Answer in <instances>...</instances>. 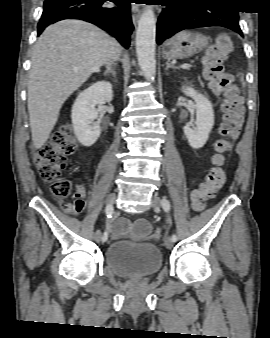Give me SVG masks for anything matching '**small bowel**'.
Returning a JSON list of instances; mask_svg holds the SVG:
<instances>
[{
    "label": "small bowel",
    "mask_w": 270,
    "mask_h": 338,
    "mask_svg": "<svg viewBox=\"0 0 270 338\" xmlns=\"http://www.w3.org/2000/svg\"><path fill=\"white\" fill-rule=\"evenodd\" d=\"M81 199L80 194L75 195L73 201ZM127 223L125 220L117 221L115 219L110 220V225L107 227V230L110 232L113 238L119 239L123 236ZM130 237L138 240H151L153 236L151 235V227L149 223L144 219H139L135 222L133 230L130 232Z\"/></svg>",
    "instance_id": "c3829d8e"
}]
</instances>
